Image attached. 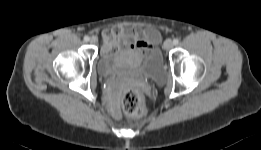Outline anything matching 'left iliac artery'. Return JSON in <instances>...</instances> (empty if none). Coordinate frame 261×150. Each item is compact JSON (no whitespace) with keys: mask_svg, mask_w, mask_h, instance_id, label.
<instances>
[{"mask_svg":"<svg viewBox=\"0 0 261 150\" xmlns=\"http://www.w3.org/2000/svg\"><path fill=\"white\" fill-rule=\"evenodd\" d=\"M178 43H179V40H178V39H174V40H173V44H174V45H177Z\"/></svg>","mask_w":261,"mask_h":150,"instance_id":"1","label":"left iliac artery"}]
</instances>
